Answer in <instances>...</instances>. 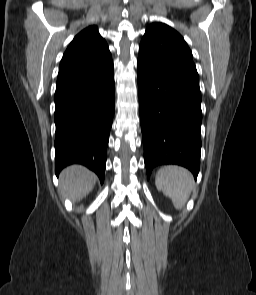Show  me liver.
Instances as JSON below:
<instances>
[{"instance_id":"1","label":"liver","mask_w":256,"mask_h":295,"mask_svg":"<svg viewBox=\"0 0 256 295\" xmlns=\"http://www.w3.org/2000/svg\"><path fill=\"white\" fill-rule=\"evenodd\" d=\"M96 175L81 165L65 168L60 174V193L73 201L86 197L96 183Z\"/></svg>"}]
</instances>
